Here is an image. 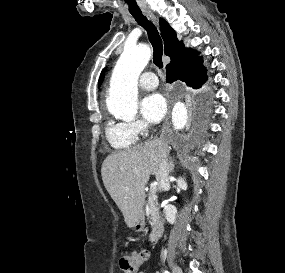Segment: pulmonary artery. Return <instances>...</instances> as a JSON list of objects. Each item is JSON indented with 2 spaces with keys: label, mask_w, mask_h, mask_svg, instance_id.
<instances>
[{
  "label": "pulmonary artery",
  "mask_w": 285,
  "mask_h": 273,
  "mask_svg": "<svg viewBox=\"0 0 285 273\" xmlns=\"http://www.w3.org/2000/svg\"><path fill=\"white\" fill-rule=\"evenodd\" d=\"M158 84V79L153 72L147 71L140 76L139 85L144 89H154Z\"/></svg>",
  "instance_id": "e3ab8cb5"
}]
</instances>
